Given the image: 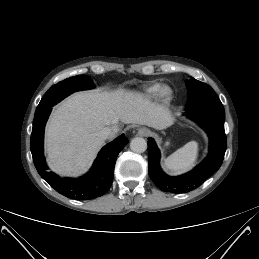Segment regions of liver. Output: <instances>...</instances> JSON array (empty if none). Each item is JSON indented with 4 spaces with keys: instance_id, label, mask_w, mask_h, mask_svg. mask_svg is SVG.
<instances>
[{
    "instance_id": "1",
    "label": "liver",
    "mask_w": 259,
    "mask_h": 259,
    "mask_svg": "<svg viewBox=\"0 0 259 259\" xmlns=\"http://www.w3.org/2000/svg\"><path fill=\"white\" fill-rule=\"evenodd\" d=\"M120 121L163 129L173 117L167 108L137 92L76 93L56 108L47 124L45 144L50 168L67 176L86 171L104 145L97 133L109 127L113 137Z\"/></svg>"
}]
</instances>
